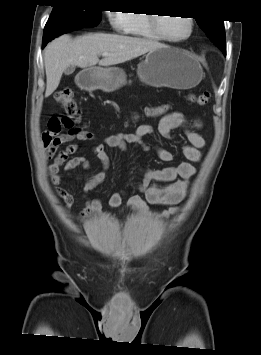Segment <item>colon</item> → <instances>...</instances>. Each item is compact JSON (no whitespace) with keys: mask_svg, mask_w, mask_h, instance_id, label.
I'll list each match as a JSON object with an SVG mask.
<instances>
[{"mask_svg":"<svg viewBox=\"0 0 261 355\" xmlns=\"http://www.w3.org/2000/svg\"><path fill=\"white\" fill-rule=\"evenodd\" d=\"M55 100L61 105L65 119L52 118L48 122V127L53 131H59L61 129V124L64 122L66 125H72L74 122H78L80 119V112L77 103L73 96V91L69 87L62 88L55 92ZM210 94L205 91L200 94L194 95L192 101L198 106H204L209 103ZM163 109L161 107L153 108L150 110L152 114L161 113Z\"/></svg>","mask_w":261,"mask_h":355,"instance_id":"obj_1","label":"colon"}]
</instances>
